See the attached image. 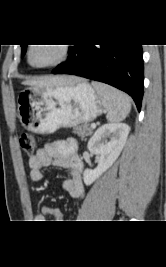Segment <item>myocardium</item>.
Returning <instances> with one entry per match:
<instances>
[{"mask_svg": "<svg viewBox=\"0 0 166 267\" xmlns=\"http://www.w3.org/2000/svg\"><path fill=\"white\" fill-rule=\"evenodd\" d=\"M36 45H38V44L29 45L26 49V55H25L27 64L31 68L36 69V70H44V69L56 67V66L62 64L63 62H65L67 60V58L69 57V54H70V47L67 46V44H55L58 46V48L60 50V54H59L58 58L55 59L54 61L50 62V63H46V64H42V65H35L31 62L30 55H31V52Z\"/></svg>", "mask_w": 166, "mask_h": 267, "instance_id": "obj_1", "label": "myocardium"}]
</instances>
